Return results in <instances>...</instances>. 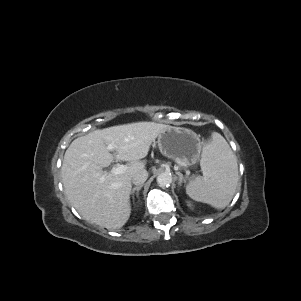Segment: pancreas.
Listing matches in <instances>:
<instances>
[{"label": "pancreas", "mask_w": 301, "mask_h": 301, "mask_svg": "<svg viewBox=\"0 0 301 301\" xmlns=\"http://www.w3.org/2000/svg\"><path fill=\"white\" fill-rule=\"evenodd\" d=\"M179 164L182 165V166H185L183 162H180Z\"/></svg>", "instance_id": "cf45deb5"}]
</instances>
